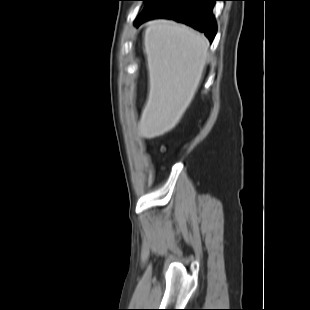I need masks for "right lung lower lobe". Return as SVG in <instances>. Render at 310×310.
<instances>
[{
	"instance_id": "obj_1",
	"label": "right lung lower lobe",
	"mask_w": 310,
	"mask_h": 310,
	"mask_svg": "<svg viewBox=\"0 0 310 310\" xmlns=\"http://www.w3.org/2000/svg\"><path fill=\"white\" fill-rule=\"evenodd\" d=\"M216 0H161L143 9L135 24L153 19L168 18L185 23L204 32L212 42L216 34L213 8Z\"/></svg>"
}]
</instances>
